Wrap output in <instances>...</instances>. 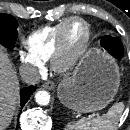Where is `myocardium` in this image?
I'll use <instances>...</instances> for the list:
<instances>
[{
    "label": "myocardium",
    "mask_w": 130,
    "mask_h": 130,
    "mask_svg": "<svg viewBox=\"0 0 130 130\" xmlns=\"http://www.w3.org/2000/svg\"><path fill=\"white\" fill-rule=\"evenodd\" d=\"M74 22H80L85 29V38L81 46L76 50L71 49L68 42V31ZM90 38L91 29L89 24L82 18H70L60 32L56 49L51 58V64L54 71L63 74L73 70L81 58L85 55L89 46Z\"/></svg>",
    "instance_id": "myocardium-1"
}]
</instances>
